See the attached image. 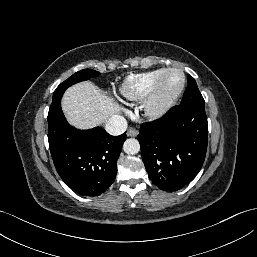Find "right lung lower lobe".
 <instances>
[{
  "instance_id": "1",
  "label": "right lung lower lobe",
  "mask_w": 257,
  "mask_h": 257,
  "mask_svg": "<svg viewBox=\"0 0 257 257\" xmlns=\"http://www.w3.org/2000/svg\"><path fill=\"white\" fill-rule=\"evenodd\" d=\"M125 139V133L111 136L101 127H72L60 103L49 109L48 141L55 168L65 184L80 195H100L114 182Z\"/></svg>"
}]
</instances>
